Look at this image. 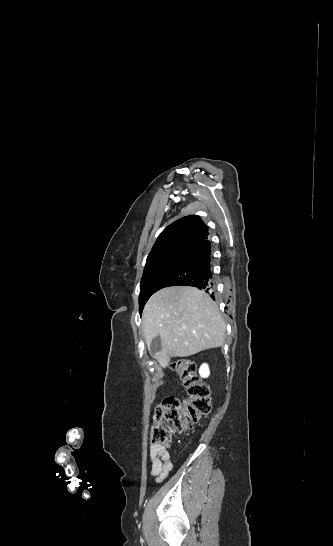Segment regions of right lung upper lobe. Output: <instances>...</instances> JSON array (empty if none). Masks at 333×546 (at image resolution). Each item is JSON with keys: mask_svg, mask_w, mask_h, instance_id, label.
I'll use <instances>...</instances> for the list:
<instances>
[{"mask_svg": "<svg viewBox=\"0 0 333 546\" xmlns=\"http://www.w3.org/2000/svg\"><path fill=\"white\" fill-rule=\"evenodd\" d=\"M208 237V227L199 216H186L162 231L148 256L172 248L191 249Z\"/></svg>", "mask_w": 333, "mask_h": 546, "instance_id": "1", "label": "right lung upper lobe"}]
</instances>
